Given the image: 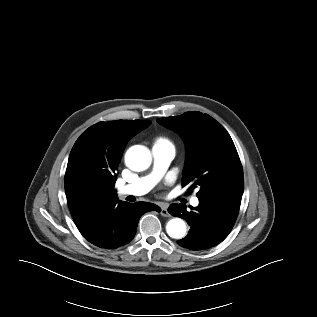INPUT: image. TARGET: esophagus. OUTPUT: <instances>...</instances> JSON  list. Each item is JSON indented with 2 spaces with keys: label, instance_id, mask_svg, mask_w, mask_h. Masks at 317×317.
I'll return each instance as SVG.
<instances>
[{
  "label": "esophagus",
  "instance_id": "esophagus-1",
  "mask_svg": "<svg viewBox=\"0 0 317 317\" xmlns=\"http://www.w3.org/2000/svg\"><path fill=\"white\" fill-rule=\"evenodd\" d=\"M160 214L163 216V217H170V214L168 213V210H167V206L166 205H162L161 206V212Z\"/></svg>",
  "mask_w": 317,
  "mask_h": 317
}]
</instances>
